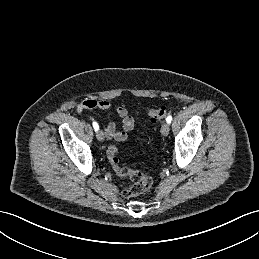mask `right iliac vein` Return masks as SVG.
Segmentation results:
<instances>
[{
    "instance_id": "63e3f726",
    "label": "right iliac vein",
    "mask_w": 259,
    "mask_h": 259,
    "mask_svg": "<svg viewBox=\"0 0 259 259\" xmlns=\"http://www.w3.org/2000/svg\"><path fill=\"white\" fill-rule=\"evenodd\" d=\"M96 137H97V139H98L100 142H103V141H104V138H105L103 131H101V130L97 131Z\"/></svg>"
}]
</instances>
